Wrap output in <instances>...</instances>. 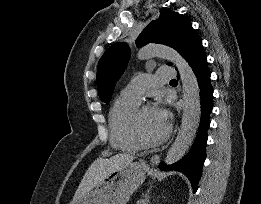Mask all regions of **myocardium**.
<instances>
[{"label":"myocardium","instance_id":"obj_1","mask_svg":"<svg viewBox=\"0 0 261 204\" xmlns=\"http://www.w3.org/2000/svg\"><path fill=\"white\" fill-rule=\"evenodd\" d=\"M150 107H152L150 103H143L139 105L137 109L134 111L131 118L132 135L135 138V140L139 143V145L144 148H152L161 145L170 137L171 130H172L171 125L167 124L166 131L161 137L157 139L150 140L144 135L141 129V116L142 113Z\"/></svg>","mask_w":261,"mask_h":204}]
</instances>
